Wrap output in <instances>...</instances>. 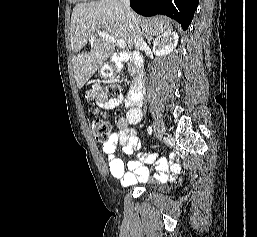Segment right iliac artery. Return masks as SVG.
I'll return each instance as SVG.
<instances>
[{"instance_id":"1","label":"right iliac artery","mask_w":257,"mask_h":237,"mask_svg":"<svg viewBox=\"0 0 257 237\" xmlns=\"http://www.w3.org/2000/svg\"><path fill=\"white\" fill-rule=\"evenodd\" d=\"M148 134L151 135L152 134V128L149 126L148 127Z\"/></svg>"}]
</instances>
